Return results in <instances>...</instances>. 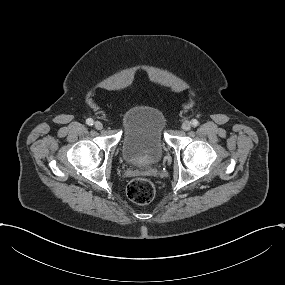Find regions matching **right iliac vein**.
I'll list each match as a JSON object with an SVG mask.
<instances>
[{
    "label": "right iliac vein",
    "mask_w": 285,
    "mask_h": 285,
    "mask_svg": "<svg viewBox=\"0 0 285 285\" xmlns=\"http://www.w3.org/2000/svg\"><path fill=\"white\" fill-rule=\"evenodd\" d=\"M94 127L97 129V130H100L103 128V124L100 122V121H96L94 123Z\"/></svg>",
    "instance_id": "1"
}]
</instances>
